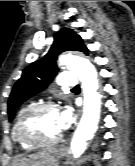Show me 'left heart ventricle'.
I'll return each instance as SVG.
<instances>
[{
    "label": "left heart ventricle",
    "mask_w": 135,
    "mask_h": 166,
    "mask_svg": "<svg viewBox=\"0 0 135 166\" xmlns=\"http://www.w3.org/2000/svg\"><path fill=\"white\" fill-rule=\"evenodd\" d=\"M24 132L40 140L56 138L62 133L59 126V111L44 110L32 115L24 125Z\"/></svg>",
    "instance_id": "obj_1"
}]
</instances>
